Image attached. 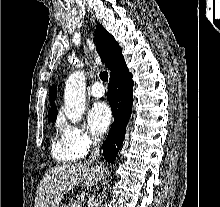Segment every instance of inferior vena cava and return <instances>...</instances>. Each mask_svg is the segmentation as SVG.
<instances>
[{
    "instance_id": "obj_1",
    "label": "inferior vena cava",
    "mask_w": 220,
    "mask_h": 207,
    "mask_svg": "<svg viewBox=\"0 0 220 207\" xmlns=\"http://www.w3.org/2000/svg\"><path fill=\"white\" fill-rule=\"evenodd\" d=\"M92 139H93V150L90 155V162L97 161L100 156V146H99L100 139L96 136L93 137Z\"/></svg>"
}]
</instances>
